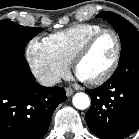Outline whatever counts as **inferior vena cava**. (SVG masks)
Instances as JSON below:
<instances>
[{"instance_id": "602c4592", "label": "inferior vena cava", "mask_w": 139, "mask_h": 139, "mask_svg": "<svg viewBox=\"0 0 139 139\" xmlns=\"http://www.w3.org/2000/svg\"><path fill=\"white\" fill-rule=\"evenodd\" d=\"M39 83L43 86H54L60 81V78L57 75L44 73L37 77Z\"/></svg>"}]
</instances>
